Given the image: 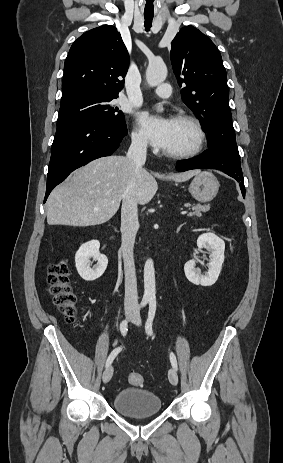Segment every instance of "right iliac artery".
<instances>
[{
    "instance_id": "right-iliac-artery-1",
    "label": "right iliac artery",
    "mask_w": 283,
    "mask_h": 463,
    "mask_svg": "<svg viewBox=\"0 0 283 463\" xmlns=\"http://www.w3.org/2000/svg\"><path fill=\"white\" fill-rule=\"evenodd\" d=\"M147 303H148V299H143V300L141 301L140 308L145 307V306L147 305ZM127 327H128V320L125 319V320H123V321L121 322V324H120V331H121V334H122L123 336H125L126 333H127V330H128ZM120 351H121V348L118 347V348L114 349V350L111 352V354L109 355V357H108V359H107V361H106V367H108V366L111 365V363L113 362L114 358L118 355V353H119Z\"/></svg>"
}]
</instances>
